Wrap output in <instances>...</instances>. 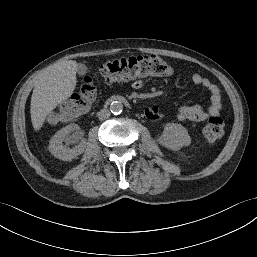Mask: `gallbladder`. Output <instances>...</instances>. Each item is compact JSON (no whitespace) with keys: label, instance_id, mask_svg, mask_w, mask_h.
<instances>
[{"label":"gallbladder","instance_id":"obj_1","mask_svg":"<svg viewBox=\"0 0 257 257\" xmlns=\"http://www.w3.org/2000/svg\"><path fill=\"white\" fill-rule=\"evenodd\" d=\"M87 71H88V68L86 65H84L82 63L78 65L77 73L80 76L85 75Z\"/></svg>","mask_w":257,"mask_h":257}]
</instances>
